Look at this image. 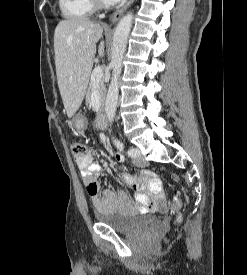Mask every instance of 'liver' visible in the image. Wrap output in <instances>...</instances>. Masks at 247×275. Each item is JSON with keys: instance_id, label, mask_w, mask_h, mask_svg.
Segmentation results:
<instances>
[{"instance_id": "1", "label": "liver", "mask_w": 247, "mask_h": 275, "mask_svg": "<svg viewBox=\"0 0 247 275\" xmlns=\"http://www.w3.org/2000/svg\"><path fill=\"white\" fill-rule=\"evenodd\" d=\"M100 24L81 18H69L58 23L54 33L57 82L67 116L80 108L86 94L96 54V43L102 37ZM104 56V41L98 47Z\"/></svg>"}]
</instances>
